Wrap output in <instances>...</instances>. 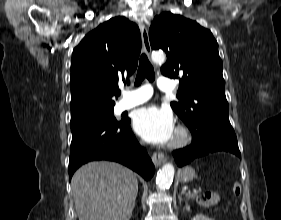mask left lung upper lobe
Returning a JSON list of instances; mask_svg holds the SVG:
<instances>
[{
	"mask_svg": "<svg viewBox=\"0 0 281 220\" xmlns=\"http://www.w3.org/2000/svg\"><path fill=\"white\" fill-rule=\"evenodd\" d=\"M149 38L153 49L167 54L161 73L180 80L178 101L171 107L188 128L205 119L229 121L222 61L211 31L183 16L164 12L154 18Z\"/></svg>",
	"mask_w": 281,
	"mask_h": 220,
	"instance_id": "1",
	"label": "left lung upper lobe"
}]
</instances>
